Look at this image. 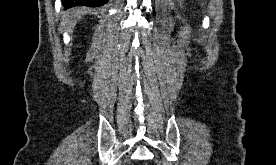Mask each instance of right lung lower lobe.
<instances>
[{
	"mask_svg": "<svg viewBox=\"0 0 276 165\" xmlns=\"http://www.w3.org/2000/svg\"><path fill=\"white\" fill-rule=\"evenodd\" d=\"M108 0H62V4L65 8L74 6H88V7H98L107 3Z\"/></svg>",
	"mask_w": 276,
	"mask_h": 165,
	"instance_id": "1",
	"label": "right lung lower lobe"
}]
</instances>
